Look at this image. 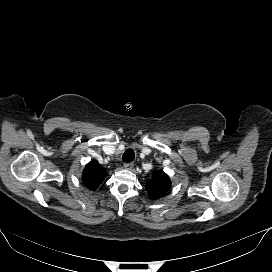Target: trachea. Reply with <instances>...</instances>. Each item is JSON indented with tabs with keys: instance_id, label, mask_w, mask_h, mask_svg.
Masks as SVG:
<instances>
[{
	"instance_id": "trachea-1",
	"label": "trachea",
	"mask_w": 272,
	"mask_h": 272,
	"mask_svg": "<svg viewBox=\"0 0 272 272\" xmlns=\"http://www.w3.org/2000/svg\"><path fill=\"white\" fill-rule=\"evenodd\" d=\"M134 157H135V153L132 149H127L123 156H122V159L124 162L126 163H129V162H132L134 160Z\"/></svg>"
}]
</instances>
